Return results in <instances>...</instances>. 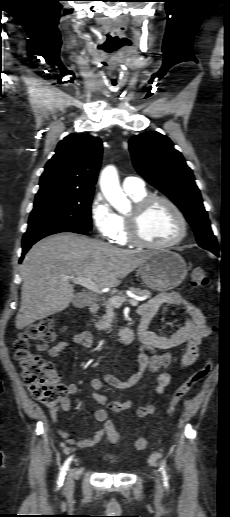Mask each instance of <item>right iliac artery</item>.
Returning <instances> with one entry per match:
<instances>
[{
  "mask_svg": "<svg viewBox=\"0 0 230 517\" xmlns=\"http://www.w3.org/2000/svg\"><path fill=\"white\" fill-rule=\"evenodd\" d=\"M71 460H72V457H69L65 461L64 465L60 469L59 478H58V485H59V487L63 484L64 478H65V475H66V471L68 470V467H69V464H70Z\"/></svg>",
  "mask_w": 230,
  "mask_h": 517,
  "instance_id": "right-iliac-artery-1",
  "label": "right iliac artery"
}]
</instances>
